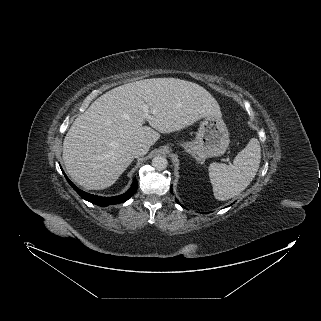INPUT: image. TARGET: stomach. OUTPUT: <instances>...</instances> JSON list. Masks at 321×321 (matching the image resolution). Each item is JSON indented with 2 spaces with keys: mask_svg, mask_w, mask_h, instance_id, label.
I'll return each instance as SVG.
<instances>
[{
  "mask_svg": "<svg viewBox=\"0 0 321 321\" xmlns=\"http://www.w3.org/2000/svg\"><path fill=\"white\" fill-rule=\"evenodd\" d=\"M229 143V132L223 119L217 115H207L200 123L196 139L181 145L198 161H204L224 154Z\"/></svg>",
  "mask_w": 321,
  "mask_h": 321,
  "instance_id": "stomach-1",
  "label": "stomach"
}]
</instances>
